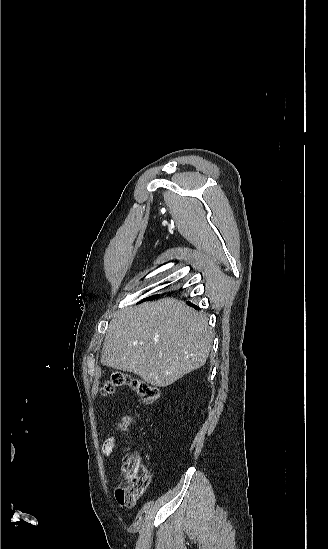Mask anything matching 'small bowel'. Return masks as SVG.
<instances>
[{
  "label": "small bowel",
  "mask_w": 328,
  "mask_h": 549,
  "mask_svg": "<svg viewBox=\"0 0 328 549\" xmlns=\"http://www.w3.org/2000/svg\"><path fill=\"white\" fill-rule=\"evenodd\" d=\"M117 443H118L117 438L113 434H109L108 437L106 438L105 442L102 445V453H103V455L106 459H109L111 457V455L113 454V452H114V450L117 446ZM119 486H120V484H118L117 487H116L115 496H116V499H117L118 503L121 506H123L124 503L122 501H120L117 498V495H116V492H117V489L119 488Z\"/></svg>",
  "instance_id": "1"
}]
</instances>
